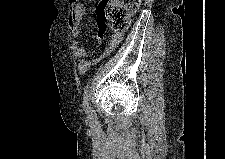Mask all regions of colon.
I'll return each instance as SVG.
<instances>
[{"instance_id": "obj_1", "label": "colon", "mask_w": 225, "mask_h": 159, "mask_svg": "<svg viewBox=\"0 0 225 159\" xmlns=\"http://www.w3.org/2000/svg\"><path fill=\"white\" fill-rule=\"evenodd\" d=\"M71 1L76 3L78 0ZM139 4L140 0H103L99 6V25L111 28L113 36L120 38L128 29Z\"/></svg>"}]
</instances>
